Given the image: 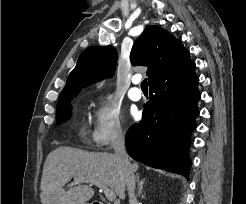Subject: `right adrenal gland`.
<instances>
[{"instance_id": "right-adrenal-gland-1", "label": "right adrenal gland", "mask_w": 246, "mask_h": 204, "mask_svg": "<svg viewBox=\"0 0 246 204\" xmlns=\"http://www.w3.org/2000/svg\"><path fill=\"white\" fill-rule=\"evenodd\" d=\"M136 180H137V184H138V189H137V194L136 195L138 197H140V196L143 197L142 191H143V184L145 182V178L140 180V175H139V173H137L136 174Z\"/></svg>"}]
</instances>
